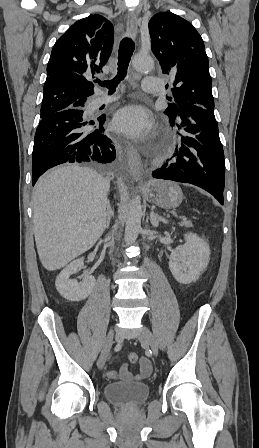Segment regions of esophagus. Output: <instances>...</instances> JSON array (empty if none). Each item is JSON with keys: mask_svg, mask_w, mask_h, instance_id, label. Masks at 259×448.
Here are the masks:
<instances>
[{"mask_svg": "<svg viewBox=\"0 0 259 448\" xmlns=\"http://www.w3.org/2000/svg\"><path fill=\"white\" fill-rule=\"evenodd\" d=\"M127 30L132 37L137 35V17L133 11H129L127 15ZM128 172L138 181L142 171V161L137 150L129 146L127 149Z\"/></svg>", "mask_w": 259, "mask_h": 448, "instance_id": "1", "label": "esophagus"}]
</instances>
